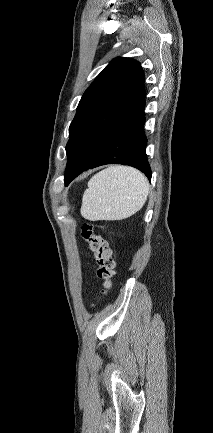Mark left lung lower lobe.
<instances>
[{
	"instance_id": "left-lung-lower-lobe-1",
	"label": "left lung lower lobe",
	"mask_w": 213,
	"mask_h": 433,
	"mask_svg": "<svg viewBox=\"0 0 213 433\" xmlns=\"http://www.w3.org/2000/svg\"><path fill=\"white\" fill-rule=\"evenodd\" d=\"M145 90L114 125L100 149L84 168L74 174L65 185L85 170L105 164H123L142 171L149 180L152 172L146 155L144 134Z\"/></svg>"
}]
</instances>
